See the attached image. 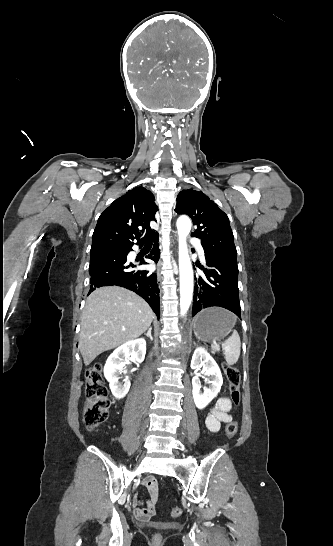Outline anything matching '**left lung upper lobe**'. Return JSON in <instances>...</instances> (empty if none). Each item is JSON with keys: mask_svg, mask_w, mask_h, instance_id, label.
<instances>
[{"mask_svg": "<svg viewBox=\"0 0 333 546\" xmlns=\"http://www.w3.org/2000/svg\"><path fill=\"white\" fill-rule=\"evenodd\" d=\"M175 211L188 215L194 225V237L200 238L202 245L222 258L237 260L233 233L227 215L202 191L183 190L178 194ZM228 272V266L223 273Z\"/></svg>", "mask_w": 333, "mask_h": 546, "instance_id": "obj_1", "label": "left lung upper lobe"}]
</instances>
